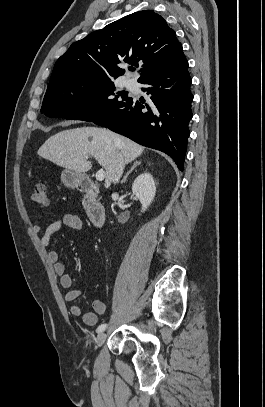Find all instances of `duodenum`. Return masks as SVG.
Here are the masks:
<instances>
[{"label":"duodenum","instance_id":"410a0bca","mask_svg":"<svg viewBox=\"0 0 265 407\" xmlns=\"http://www.w3.org/2000/svg\"><path fill=\"white\" fill-rule=\"evenodd\" d=\"M79 189L84 193V205L91 223L99 228L106 221V211L104 206L98 201V187L89 178H84L79 182Z\"/></svg>","mask_w":265,"mask_h":407}]
</instances>
